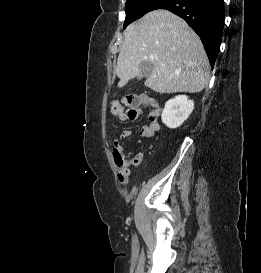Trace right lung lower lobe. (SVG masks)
<instances>
[{"label": "right lung lower lobe", "instance_id": "1", "mask_svg": "<svg viewBox=\"0 0 261 273\" xmlns=\"http://www.w3.org/2000/svg\"><path fill=\"white\" fill-rule=\"evenodd\" d=\"M166 9L183 18L199 35L211 67L217 58L225 18L223 0H155L149 10ZM150 12V11H149Z\"/></svg>", "mask_w": 261, "mask_h": 273}]
</instances>
